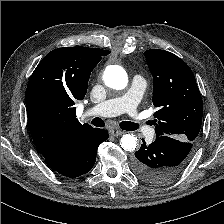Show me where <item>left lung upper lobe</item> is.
Instances as JSON below:
<instances>
[{
    "label": "left lung upper lobe",
    "instance_id": "obj_1",
    "mask_svg": "<svg viewBox=\"0 0 224 224\" xmlns=\"http://www.w3.org/2000/svg\"><path fill=\"white\" fill-rule=\"evenodd\" d=\"M144 55L154 77L156 137L193 143L201 128L203 104L192 70L168 51L150 49Z\"/></svg>",
    "mask_w": 224,
    "mask_h": 224
}]
</instances>
